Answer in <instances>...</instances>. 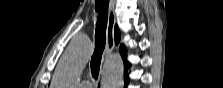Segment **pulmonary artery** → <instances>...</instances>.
Listing matches in <instances>:
<instances>
[{
	"label": "pulmonary artery",
	"instance_id": "1",
	"mask_svg": "<svg viewBox=\"0 0 223 88\" xmlns=\"http://www.w3.org/2000/svg\"><path fill=\"white\" fill-rule=\"evenodd\" d=\"M80 88H90L91 83L87 80H83L82 82L79 83Z\"/></svg>",
	"mask_w": 223,
	"mask_h": 88
}]
</instances>
